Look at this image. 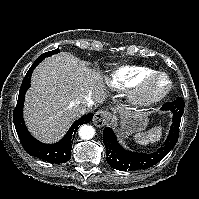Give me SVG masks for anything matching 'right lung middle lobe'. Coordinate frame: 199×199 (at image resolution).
I'll return each instance as SVG.
<instances>
[{
    "label": "right lung middle lobe",
    "mask_w": 199,
    "mask_h": 199,
    "mask_svg": "<svg viewBox=\"0 0 199 199\" xmlns=\"http://www.w3.org/2000/svg\"><path fill=\"white\" fill-rule=\"evenodd\" d=\"M57 53H59V49H55V50H53V51H49V52H46V53H43L42 55H40L39 56V58L38 59H44V58H46V57H49V56H51V55H53V54H57Z\"/></svg>",
    "instance_id": "obj_1"
}]
</instances>
